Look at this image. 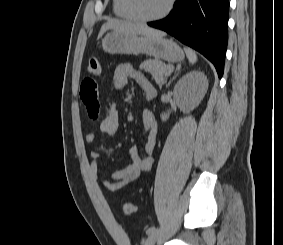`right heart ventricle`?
<instances>
[{"mask_svg":"<svg viewBox=\"0 0 283 245\" xmlns=\"http://www.w3.org/2000/svg\"><path fill=\"white\" fill-rule=\"evenodd\" d=\"M113 11L119 18L127 20L133 19L126 10L125 0H113Z\"/></svg>","mask_w":283,"mask_h":245,"instance_id":"right-heart-ventricle-1","label":"right heart ventricle"}]
</instances>
